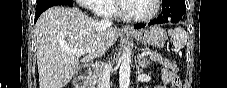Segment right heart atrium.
<instances>
[{
    "mask_svg": "<svg viewBox=\"0 0 227 88\" xmlns=\"http://www.w3.org/2000/svg\"><path fill=\"white\" fill-rule=\"evenodd\" d=\"M78 3L99 16L109 15L108 11L103 9V6L108 3V0H78Z\"/></svg>",
    "mask_w": 227,
    "mask_h": 88,
    "instance_id": "right-heart-atrium-1",
    "label": "right heart atrium"
}]
</instances>
